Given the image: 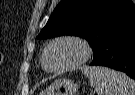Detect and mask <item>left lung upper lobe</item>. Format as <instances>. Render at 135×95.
<instances>
[{"instance_id":"1","label":"left lung upper lobe","mask_w":135,"mask_h":95,"mask_svg":"<svg viewBox=\"0 0 135 95\" xmlns=\"http://www.w3.org/2000/svg\"><path fill=\"white\" fill-rule=\"evenodd\" d=\"M134 21L132 0H62L37 38L80 36L95 54L109 34Z\"/></svg>"}]
</instances>
